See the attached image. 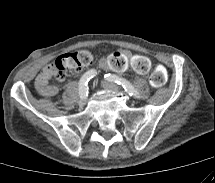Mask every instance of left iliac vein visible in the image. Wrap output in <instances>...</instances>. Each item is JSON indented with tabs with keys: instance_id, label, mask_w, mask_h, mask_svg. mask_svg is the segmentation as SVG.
Returning <instances> with one entry per match:
<instances>
[{
	"instance_id": "4c4485c4",
	"label": "left iliac vein",
	"mask_w": 215,
	"mask_h": 183,
	"mask_svg": "<svg viewBox=\"0 0 215 183\" xmlns=\"http://www.w3.org/2000/svg\"><path fill=\"white\" fill-rule=\"evenodd\" d=\"M101 86L103 88H105V89H108V90H112V91H115V92H121V88L119 86H117L116 84L107 82V81H103L101 83Z\"/></svg>"
}]
</instances>
